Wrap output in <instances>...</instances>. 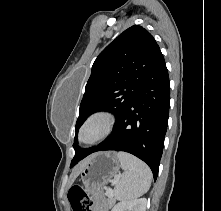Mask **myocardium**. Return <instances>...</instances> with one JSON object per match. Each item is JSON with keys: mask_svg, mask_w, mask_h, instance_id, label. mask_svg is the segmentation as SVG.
Returning a JSON list of instances; mask_svg holds the SVG:
<instances>
[{"mask_svg": "<svg viewBox=\"0 0 221 211\" xmlns=\"http://www.w3.org/2000/svg\"><path fill=\"white\" fill-rule=\"evenodd\" d=\"M93 124L98 125L99 128L98 134L91 140H85L83 138L84 132L89 126ZM114 124H115V118L110 112L104 110L95 111L89 114L81 124L78 131V141L81 144L87 146L95 145L103 141L111 134L114 128Z\"/></svg>", "mask_w": 221, "mask_h": 211, "instance_id": "1", "label": "myocardium"}]
</instances>
